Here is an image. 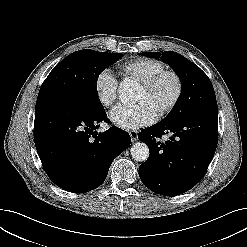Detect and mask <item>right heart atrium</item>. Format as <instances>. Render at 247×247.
Instances as JSON below:
<instances>
[{
	"mask_svg": "<svg viewBox=\"0 0 247 247\" xmlns=\"http://www.w3.org/2000/svg\"><path fill=\"white\" fill-rule=\"evenodd\" d=\"M117 79L109 69L98 73L94 81V91L99 103L111 107L117 99Z\"/></svg>",
	"mask_w": 247,
	"mask_h": 247,
	"instance_id": "obj_1",
	"label": "right heart atrium"
}]
</instances>
